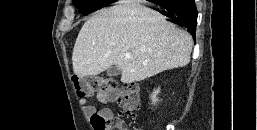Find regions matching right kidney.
Returning a JSON list of instances; mask_svg holds the SVG:
<instances>
[{
	"mask_svg": "<svg viewBox=\"0 0 257 130\" xmlns=\"http://www.w3.org/2000/svg\"><path fill=\"white\" fill-rule=\"evenodd\" d=\"M160 92V88H158L157 90H154L153 94H152V101L155 104L156 101H158V99L156 98L157 94Z\"/></svg>",
	"mask_w": 257,
	"mask_h": 130,
	"instance_id": "obj_1",
	"label": "right kidney"
}]
</instances>
